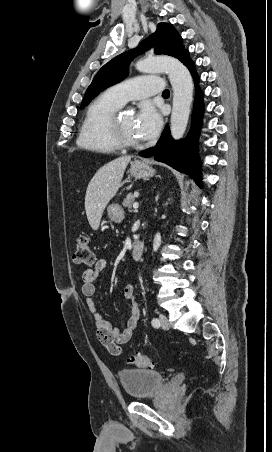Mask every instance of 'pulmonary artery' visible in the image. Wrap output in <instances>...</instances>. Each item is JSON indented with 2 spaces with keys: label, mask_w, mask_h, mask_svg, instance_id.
I'll use <instances>...</instances> for the list:
<instances>
[{
  "label": "pulmonary artery",
  "mask_w": 272,
  "mask_h": 452,
  "mask_svg": "<svg viewBox=\"0 0 272 452\" xmlns=\"http://www.w3.org/2000/svg\"><path fill=\"white\" fill-rule=\"evenodd\" d=\"M163 91V80L158 77H135L118 83L108 92L122 105L129 100H140Z\"/></svg>",
  "instance_id": "obj_1"
}]
</instances>
